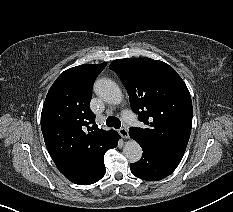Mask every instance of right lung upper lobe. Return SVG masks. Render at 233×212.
<instances>
[{
    "label": "right lung upper lobe",
    "mask_w": 233,
    "mask_h": 212,
    "mask_svg": "<svg viewBox=\"0 0 233 212\" xmlns=\"http://www.w3.org/2000/svg\"><path fill=\"white\" fill-rule=\"evenodd\" d=\"M106 65L84 64L62 72L43 105L41 129L46 147L59 171L75 184L93 177L114 133L99 129L90 110L93 82Z\"/></svg>",
    "instance_id": "obj_1"
}]
</instances>
